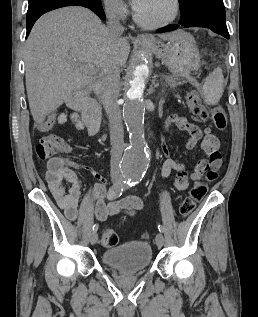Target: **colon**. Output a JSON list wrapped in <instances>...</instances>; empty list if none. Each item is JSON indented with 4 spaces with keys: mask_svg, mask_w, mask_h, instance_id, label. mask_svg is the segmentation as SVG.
<instances>
[{
    "mask_svg": "<svg viewBox=\"0 0 258 317\" xmlns=\"http://www.w3.org/2000/svg\"><path fill=\"white\" fill-rule=\"evenodd\" d=\"M188 107L191 113L201 120L211 118L215 127L219 130H225L227 127V116L224 110L217 108L209 112L203 105L200 97V92L194 90L188 94ZM72 151V146L63 138L56 134H48L43 136L36 146V154L39 159L45 160L54 158L60 155L69 154ZM218 172L211 168L206 173V180L208 182L216 179ZM207 192L206 183L195 185L189 195L181 202L179 206V213L182 216L190 215L195 209L198 202H200ZM146 237V235H144ZM101 244L105 247H114L118 243L117 233L110 228H106L101 233Z\"/></svg>",
    "mask_w": 258,
    "mask_h": 317,
    "instance_id": "obj_1",
    "label": "colon"
}]
</instances>
